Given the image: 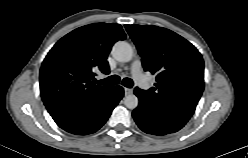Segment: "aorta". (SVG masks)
<instances>
[{"label":"aorta","mask_w":248,"mask_h":158,"mask_svg":"<svg viewBox=\"0 0 248 158\" xmlns=\"http://www.w3.org/2000/svg\"><path fill=\"white\" fill-rule=\"evenodd\" d=\"M112 56L119 62H129L133 57V49L126 41H118L112 47ZM139 100L136 95L129 94L124 98V105L128 109H135Z\"/></svg>","instance_id":"obj_1"}]
</instances>
